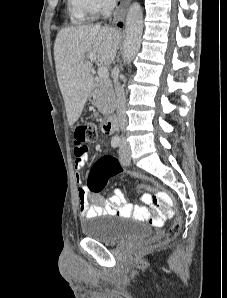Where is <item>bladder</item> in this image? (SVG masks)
<instances>
[{"mask_svg":"<svg viewBox=\"0 0 227 298\" xmlns=\"http://www.w3.org/2000/svg\"><path fill=\"white\" fill-rule=\"evenodd\" d=\"M81 231L85 237L108 245L147 238L152 233L149 225L130 218L87 220L81 224Z\"/></svg>","mask_w":227,"mask_h":298,"instance_id":"bladder-1","label":"bladder"}]
</instances>
